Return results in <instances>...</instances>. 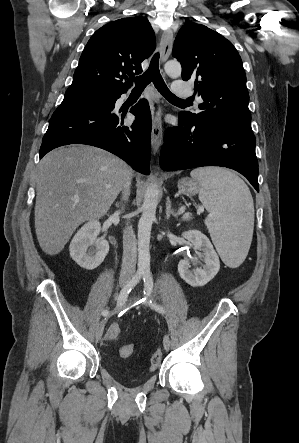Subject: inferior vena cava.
Listing matches in <instances>:
<instances>
[{
    "label": "inferior vena cava",
    "instance_id": "obj_1",
    "mask_svg": "<svg viewBox=\"0 0 299 443\" xmlns=\"http://www.w3.org/2000/svg\"><path fill=\"white\" fill-rule=\"evenodd\" d=\"M130 181L126 182L122 188L123 200L129 196ZM137 241L131 226L126 227L123 233V260L121 277L132 276L135 273Z\"/></svg>",
    "mask_w": 299,
    "mask_h": 443
}]
</instances>
